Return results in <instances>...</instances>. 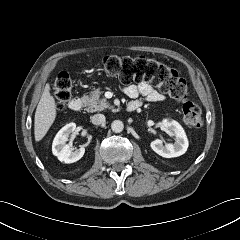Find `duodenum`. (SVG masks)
Instances as JSON below:
<instances>
[{"label":"duodenum","instance_id":"1","mask_svg":"<svg viewBox=\"0 0 240 240\" xmlns=\"http://www.w3.org/2000/svg\"><path fill=\"white\" fill-rule=\"evenodd\" d=\"M82 107V100L79 97L73 98L69 103V109L73 112H78ZM139 108V104L137 102H129L126 105V110L128 112H133Z\"/></svg>","mask_w":240,"mask_h":240}]
</instances>
